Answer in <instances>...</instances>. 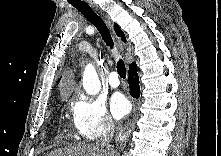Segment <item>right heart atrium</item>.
<instances>
[{"label": "right heart atrium", "instance_id": "1", "mask_svg": "<svg viewBox=\"0 0 221 156\" xmlns=\"http://www.w3.org/2000/svg\"><path fill=\"white\" fill-rule=\"evenodd\" d=\"M72 124L76 135L92 142L113 132L115 124L105 105L92 97L80 94L71 103Z\"/></svg>", "mask_w": 221, "mask_h": 156}]
</instances>
